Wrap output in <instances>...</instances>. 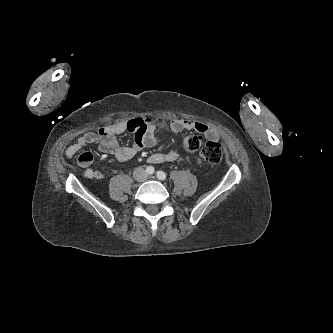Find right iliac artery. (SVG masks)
<instances>
[{
  "mask_svg": "<svg viewBox=\"0 0 333 333\" xmlns=\"http://www.w3.org/2000/svg\"><path fill=\"white\" fill-rule=\"evenodd\" d=\"M154 168L152 167V166H148L147 168H146V172L148 173V174H153L154 173Z\"/></svg>",
  "mask_w": 333,
  "mask_h": 333,
  "instance_id": "1",
  "label": "right iliac artery"
}]
</instances>
